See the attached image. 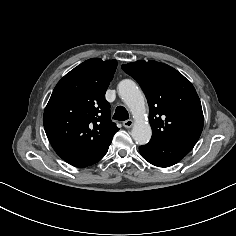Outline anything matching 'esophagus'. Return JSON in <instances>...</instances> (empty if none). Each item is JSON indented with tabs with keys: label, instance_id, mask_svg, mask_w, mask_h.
<instances>
[{
	"label": "esophagus",
	"instance_id": "obj_1",
	"mask_svg": "<svg viewBox=\"0 0 236 236\" xmlns=\"http://www.w3.org/2000/svg\"><path fill=\"white\" fill-rule=\"evenodd\" d=\"M133 123H134L133 120L129 119L123 122V126L125 128H131L133 126Z\"/></svg>",
	"mask_w": 236,
	"mask_h": 236
}]
</instances>
